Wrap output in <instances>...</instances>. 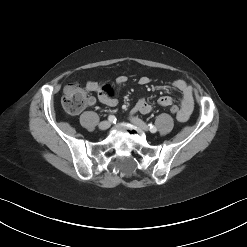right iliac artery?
Listing matches in <instances>:
<instances>
[{
    "label": "right iliac artery",
    "instance_id": "right-iliac-artery-1",
    "mask_svg": "<svg viewBox=\"0 0 247 247\" xmlns=\"http://www.w3.org/2000/svg\"><path fill=\"white\" fill-rule=\"evenodd\" d=\"M108 119H109L110 122H113V123L116 122V117L113 116V115H110Z\"/></svg>",
    "mask_w": 247,
    "mask_h": 247
}]
</instances>
